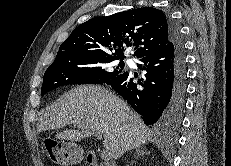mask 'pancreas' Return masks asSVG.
I'll use <instances>...</instances> for the list:
<instances>
[{"instance_id":"1","label":"pancreas","mask_w":231,"mask_h":166,"mask_svg":"<svg viewBox=\"0 0 231 166\" xmlns=\"http://www.w3.org/2000/svg\"><path fill=\"white\" fill-rule=\"evenodd\" d=\"M97 166H106V164L104 162H100Z\"/></svg>"}]
</instances>
